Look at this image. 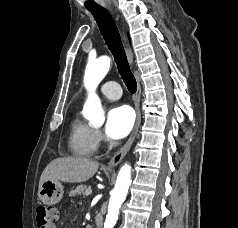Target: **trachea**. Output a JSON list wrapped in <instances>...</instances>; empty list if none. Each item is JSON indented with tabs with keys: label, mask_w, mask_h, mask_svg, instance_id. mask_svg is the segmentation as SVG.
<instances>
[{
	"label": "trachea",
	"mask_w": 238,
	"mask_h": 228,
	"mask_svg": "<svg viewBox=\"0 0 238 228\" xmlns=\"http://www.w3.org/2000/svg\"><path fill=\"white\" fill-rule=\"evenodd\" d=\"M91 13L99 26L108 48L114 56L121 78L126 84L129 92L135 93L137 90V82L131 73L120 34L114 20L106 9L91 10Z\"/></svg>",
	"instance_id": "obj_1"
}]
</instances>
